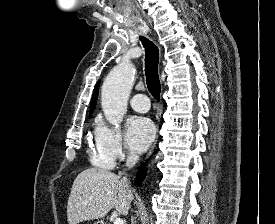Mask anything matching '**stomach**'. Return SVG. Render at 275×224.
Instances as JSON below:
<instances>
[{
  "label": "stomach",
  "instance_id": "obj_1",
  "mask_svg": "<svg viewBox=\"0 0 275 224\" xmlns=\"http://www.w3.org/2000/svg\"><path fill=\"white\" fill-rule=\"evenodd\" d=\"M94 224H104V222L103 221H97Z\"/></svg>",
  "mask_w": 275,
  "mask_h": 224
}]
</instances>
